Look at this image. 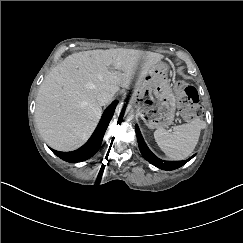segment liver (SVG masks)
Here are the masks:
<instances>
[{
  "label": "liver",
  "mask_w": 243,
  "mask_h": 243,
  "mask_svg": "<svg viewBox=\"0 0 243 243\" xmlns=\"http://www.w3.org/2000/svg\"><path fill=\"white\" fill-rule=\"evenodd\" d=\"M163 56L142 50L108 49L72 54L52 69L36 98L35 119L40 135L57 150L80 146L92 133L102 112L97 95L135 88L161 66Z\"/></svg>",
  "instance_id": "liver-1"
}]
</instances>
